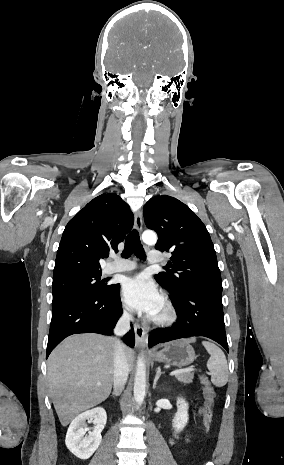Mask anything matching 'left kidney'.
Listing matches in <instances>:
<instances>
[{"instance_id": "5707ae66", "label": "left kidney", "mask_w": 284, "mask_h": 465, "mask_svg": "<svg viewBox=\"0 0 284 465\" xmlns=\"http://www.w3.org/2000/svg\"><path fill=\"white\" fill-rule=\"evenodd\" d=\"M177 413L172 421V425L176 431H182L188 423V403L185 399H177Z\"/></svg>"}]
</instances>
